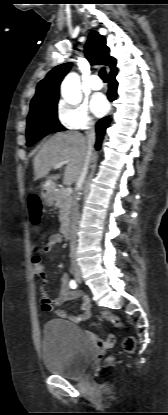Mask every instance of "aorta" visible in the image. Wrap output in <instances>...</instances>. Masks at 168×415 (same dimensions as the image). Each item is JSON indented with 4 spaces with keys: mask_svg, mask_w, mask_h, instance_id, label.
<instances>
[{
    "mask_svg": "<svg viewBox=\"0 0 168 415\" xmlns=\"http://www.w3.org/2000/svg\"><path fill=\"white\" fill-rule=\"evenodd\" d=\"M61 94L66 102L77 105L81 101L80 81L75 73L69 74L61 85Z\"/></svg>",
    "mask_w": 168,
    "mask_h": 415,
    "instance_id": "762f6f07",
    "label": "aorta"
}]
</instances>
